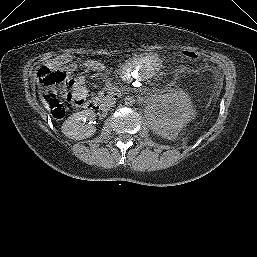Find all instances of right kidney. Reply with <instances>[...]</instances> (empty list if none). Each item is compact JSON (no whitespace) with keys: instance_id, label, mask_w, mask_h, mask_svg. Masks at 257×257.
<instances>
[{"instance_id":"right-kidney-1","label":"right kidney","mask_w":257,"mask_h":257,"mask_svg":"<svg viewBox=\"0 0 257 257\" xmlns=\"http://www.w3.org/2000/svg\"><path fill=\"white\" fill-rule=\"evenodd\" d=\"M94 112L83 110L68 117L62 125V133L71 139L82 140L91 137L96 128L91 124H83L86 119L93 120Z\"/></svg>"}]
</instances>
